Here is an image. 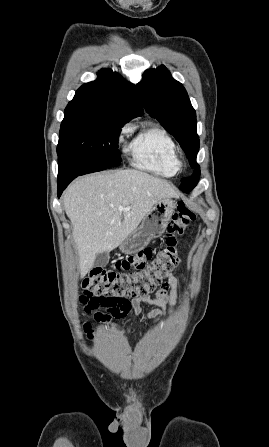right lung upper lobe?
<instances>
[{"label":"right lung upper lobe","mask_w":269,"mask_h":447,"mask_svg":"<svg viewBox=\"0 0 269 447\" xmlns=\"http://www.w3.org/2000/svg\"><path fill=\"white\" fill-rule=\"evenodd\" d=\"M65 117H88L128 122L143 114L136 86L111 69L81 86L65 109Z\"/></svg>","instance_id":"1"}]
</instances>
